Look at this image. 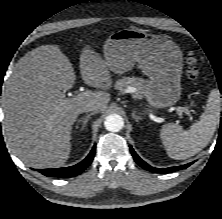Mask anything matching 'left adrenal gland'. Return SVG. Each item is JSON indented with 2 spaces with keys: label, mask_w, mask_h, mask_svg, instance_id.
<instances>
[{
  "label": "left adrenal gland",
  "mask_w": 222,
  "mask_h": 219,
  "mask_svg": "<svg viewBox=\"0 0 222 219\" xmlns=\"http://www.w3.org/2000/svg\"><path fill=\"white\" fill-rule=\"evenodd\" d=\"M132 117L136 120V122H139V120H141V117L135 115V111L132 112Z\"/></svg>",
  "instance_id": "left-adrenal-gland-1"
}]
</instances>
